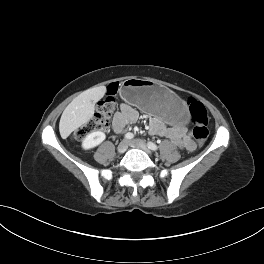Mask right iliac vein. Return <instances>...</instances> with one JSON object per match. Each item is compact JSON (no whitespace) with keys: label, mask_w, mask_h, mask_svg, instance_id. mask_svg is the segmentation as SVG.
I'll use <instances>...</instances> for the list:
<instances>
[{"label":"right iliac vein","mask_w":264,"mask_h":264,"mask_svg":"<svg viewBox=\"0 0 264 264\" xmlns=\"http://www.w3.org/2000/svg\"><path fill=\"white\" fill-rule=\"evenodd\" d=\"M127 148H128V142L126 140H123L119 143L117 147V152L122 154L127 150Z\"/></svg>","instance_id":"63e3f726"}]
</instances>
